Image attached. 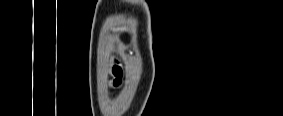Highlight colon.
Wrapping results in <instances>:
<instances>
[{"instance_id":"1","label":"colon","mask_w":283,"mask_h":116,"mask_svg":"<svg viewBox=\"0 0 283 116\" xmlns=\"http://www.w3.org/2000/svg\"><path fill=\"white\" fill-rule=\"evenodd\" d=\"M117 76H118V79H117V81H116V84H117V85H121V84H122V80H121V78H120L121 75H117Z\"/></svg>"}]
</instances>
